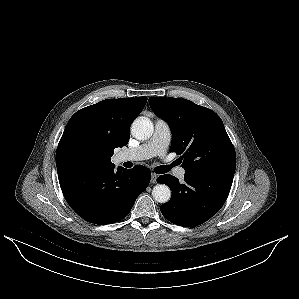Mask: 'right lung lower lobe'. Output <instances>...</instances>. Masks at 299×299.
Masks as SVG:
<instances>
[{
    "mask_svg": "<svg viewBox=\"0 0 299 299\" xmlns=\"http://www.w3.org/2000/svg\"><path fill=\"white\" fill-rule=\"evenodd\" d=\"M63 195L84 220L112 224L125 218L148 186L151 173L145 166L133 169L65 167L57 170Z\"/></svg>",
    "mask_w": 299,
    "mask_h": 299,
    "instance_id": "right-lung-lower-lobe-1",
    "label": "right lung lower lobe"
}]
</instances>
